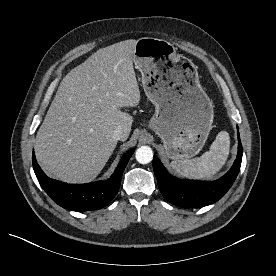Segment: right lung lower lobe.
<instances>
[{
	"mask_svg": "<svg viewBox=\"0 0 276 276\" xmlns=\"http://www.w3.org/2000/svg\"><path fill=\"white\" fill-rule=\"evenodd\" d=\"M133 152L134 150H130L122 157L116 170L107 181L87 184H68L50 179L41 170L34 153L32 162L40 185L55 203L72 211H88L103 208L117 194L123 171Z\"/></svg>",
	"mask_w": 276,
	"mask_h": 276,
	"instance_id": "1",
	"label": "right lung lower lobe"
}]
</instances>
